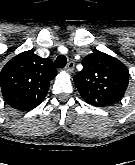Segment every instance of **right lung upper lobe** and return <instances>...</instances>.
<instances>
[{
	"instance_id": "cb5924a9",
	"label": "right lung upper lobe",
	"mask_w": 135,
	"mask_h": 165,
	"mask_svg": "<svg viewBox=\"0 0 135 165\" xmlns=\"http://www.w3.org/2000/svg\"><path fill=\"white\" fill-rule=\"evenodd\" d=\"M55 76L56 69L50 59L41 58L32 51L20 53L1 70L3 97L15 109L30 110L44 100Z\"/></svg>"
}]
</instances>
